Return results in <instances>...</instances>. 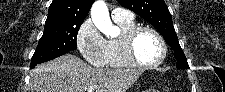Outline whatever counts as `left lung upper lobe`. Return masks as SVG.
Returning <instances> with one entry per match:
<instances>
[{
  "instance_id": "5c2ea615",
  "label": "left lung upper lobe",
  "mask_w": 225,
  "mask_h": 92,
  "mask_svg": "<svg viewBox=\"0 0 225 92\" xmlns=\"http://www.w3.org/2000/svg\"><path fill=\"white\" fill-rule=\"evenodd\" d=\"M122 6L138 14L152 24L164 37L167 44L174 50L177 60L176 67L188 69L189 65L179 45L172 17L164 0H117Z\"/></svg>"
}]
</instances>
